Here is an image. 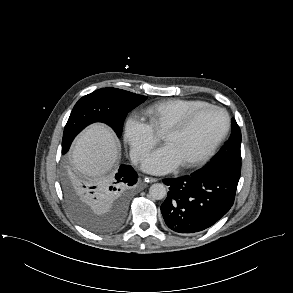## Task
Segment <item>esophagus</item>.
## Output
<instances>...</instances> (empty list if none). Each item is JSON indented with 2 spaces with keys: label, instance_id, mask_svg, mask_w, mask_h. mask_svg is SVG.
I'll return each mask as SVG.
<instances>
[{
  "label": "esophagus",
  "instance_id": "1",
  "mask_svg": "<svg viewBox=\"0 0 293 293\" xmlns=\"http://www.w3.org/2000/svg\"><path fill=\"white\" fill-rule=\"evenodd\" d=\"M145 180H148L150 182H157L158 181V179L154 178V177H145Z\"/></svg>",
  "mask_w": 293,
  "mask_h": 293
}]
</instances>
